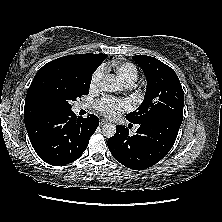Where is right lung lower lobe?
Returning a JSON list of instances; mask_svg holds the SVG:
<instances>
[{
  "instance_id": "98d812e1",
  "label": "right lung lower lobe",
  "mask_w": 222,
  "mask_h": 222,
  "mask_svg": "<svg viewBox=\"0 0 222 222\" xmlns=\"http://www.w3.org/2000/svg\"><path fill=\"white\" fill-rule=\"evenodd\" d=\"M25 125L39 157L58 166L71 163L82 155L99 126V119L93 114L76 118L69 110L41 116Z\"/></svg>"
}]
</instances>
